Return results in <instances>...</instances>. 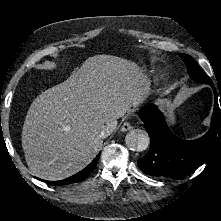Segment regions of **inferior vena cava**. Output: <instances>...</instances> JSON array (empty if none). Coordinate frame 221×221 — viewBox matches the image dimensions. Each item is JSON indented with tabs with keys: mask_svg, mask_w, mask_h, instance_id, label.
<instances>
[{
	"mask_svg": "<svg viewBox=\"0 0 221 221\" xmlns=\"http://www.w3.org/2000/svg\"><path fill=\"white\" fill-rule=\"evenodd\" d=\"M115 130V125L111 124L108 126H104L103 129L100 131L99 137L104 139L111 135L113 131Z\"/></svg>",
	"mask_w": 221,
	"mask_h": 221,
	"instance_id": "1",
	"label": "inferior vena cava"
}]
</instances>
